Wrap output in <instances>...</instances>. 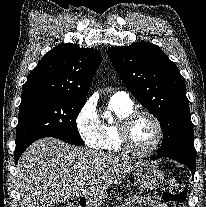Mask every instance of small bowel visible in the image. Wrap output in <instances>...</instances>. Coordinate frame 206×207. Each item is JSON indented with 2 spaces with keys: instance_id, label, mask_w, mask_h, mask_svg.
<instances>
[{
  "instance_id": "small-bowel-1",
  "label": "small bowel",
  "mask_w": 206,
  "mask_h": 207,
  "mask_svg": "<svg viewBox=\"0 0 206 207\" xmlns=\"http://www.w3.org/2000/svg\"><path fill=\"white\" fill-rule=\"evenodd\" d=\"M168 207L166 203L160 201L157 197L143 196L138 199H133L129 205H121L119 207Z\"/></svg>"
}]
</instances>
